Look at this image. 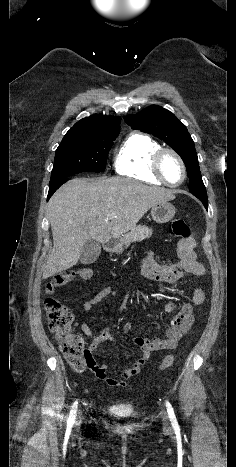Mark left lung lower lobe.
<instances>
[{
  "label": "left lung lower lobe",
  "instance_id": "obj_1",
  "mask_svg": "<svg viewBox=\"0 0 236 467\" xmlns=\"http://www.w3.org/2000/svg\"><path fill=\"white\" fill-rule=\"evenodd\" d=\"M194 196H196L205 206V208L208 210V199H207V193L200 194V193H192Z\"/></svg>",
  "mask_w": 236,
  "mask_h": 467
}]
</instances>
